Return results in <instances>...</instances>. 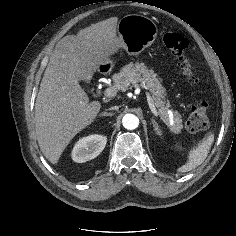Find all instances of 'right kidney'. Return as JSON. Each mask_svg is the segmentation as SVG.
Returning a JSON list of instances; mask_svg holds the SVG:
<instances>
[{"mask_svg": "<svg viewBox=\"0 0 236 236\" xmlns=\"http://www.w3.org/2000/svg\"><path fill=\"white\" fill-rule=\"evenodd\" d=\"M107 138L102 135H91L80 139L72 151V159L83 163L96 158L105 148Z\"/></svg>", "mask_w": 236, "mask_h": 236, "instance_id": "ca27d5eb", "label": "right kidney"}]
</instances>
